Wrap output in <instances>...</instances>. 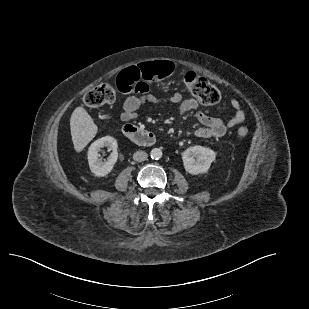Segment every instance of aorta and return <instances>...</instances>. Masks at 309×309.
Instances as JSON below:
<instances>
[{
	"label": "aorta",
	"instance_id": "762f6f07",
	"mask_svg": "<svg viewBox=\"0 0 309 309\" xmlns=\"http://www.w3.org/2000/svg\"><path fill=\"white\" fill-rule=\"evenodd\" d=\"M162 155V150L160 148H153L150 152V156L154 160H159Z\"/></svg>",
	"mask_w": 309,
	"mask_h": 309
}]
</instances>
